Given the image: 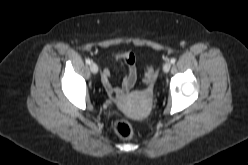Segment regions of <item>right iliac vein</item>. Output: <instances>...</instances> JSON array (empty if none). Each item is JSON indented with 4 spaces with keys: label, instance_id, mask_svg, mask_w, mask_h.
Masks as SVG:
<instances>
[{
    "label": "right iliac vein",
    "instance_id": "obj_1",
    "mask_svg": "<svg viewBox=\"0 0 248 165\" xmlns=\"http://www.w3.org/2000/svg\"><path fill=\"white\" fill-rule=\"evenodd\" d=\"M90 70H91V72H92L93 74H97V72H98V66H97V64L92 62V63L90 64Z\"/></svg>",
    "mask_w": 248,
    "mask_h": 165
}]
</instances>
